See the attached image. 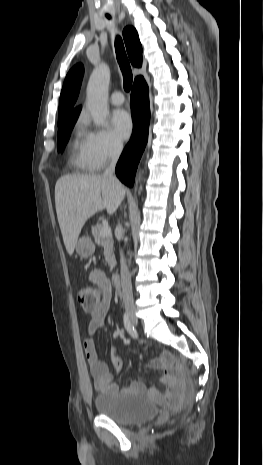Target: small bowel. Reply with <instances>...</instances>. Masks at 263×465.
I'll use <instances>...</instances> for the list:
<instances>
[{"mask_svg": "<svg viewBox=\"0 0 263 465\" xmlns=\"http://www.w3.org/2000/svg\"><path fill=\"white\" fill-rule=\"evenodd\" d=\"M90 281L102 290L101 301L89 311L90 318L87 325V336L84 338L83 346L85 357L89 366L90 374L93 379L94 387L99 392L120 391L119 387L112 382V374L108 366L97 356L94 334L105 323L111 300V288L105 274L100 270H92L89 275ZM112 361L116 370L122 366L121 359L112 355ZM150 366L163 370L162 382L165 385V394H162L157 388L148 389L150 396L158 402H167L169 404H178L182 401L187 383L182 370L175 366L174 358L164 353L159 358L151 361ZM140 383H134L130 388L124 391L143 389Z\"/></svg>", "mask_w": 263, "mask_h": 465, "instance_id": "c3829d8e", "label": "small bowel"}]
</instances>
